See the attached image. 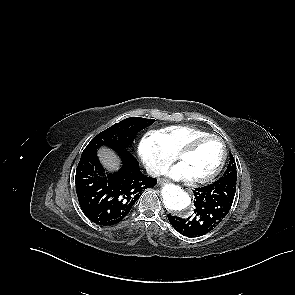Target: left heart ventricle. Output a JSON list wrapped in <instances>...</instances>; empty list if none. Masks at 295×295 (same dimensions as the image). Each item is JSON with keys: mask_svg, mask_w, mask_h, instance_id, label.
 Segmentation results:
<instances>
[{"mask_svg": "<svg viewBox=\"0 0 295 295\" xmlns=\"http://www.w3.org/2000/svg\"><path fill=\"white\" fill-rule=\"evenodd\" d=\"M221 144L216 139L201 142L194 151L185 155L181 163L185 165L191 178H200L211 173L221 158Z\"/></svg>", "mask_w": 295, "mask_h": 295, "instance_id": "1", "label": "left heart ventricle"}]
</instances>
